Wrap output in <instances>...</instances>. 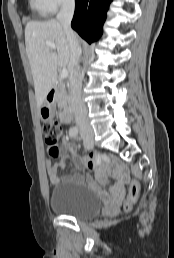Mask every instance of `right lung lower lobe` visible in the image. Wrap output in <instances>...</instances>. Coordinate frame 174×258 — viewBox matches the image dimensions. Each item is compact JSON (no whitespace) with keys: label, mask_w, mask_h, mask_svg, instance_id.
<instances>
[{"label":"right lung lower lobe","mask_w":174,"mask_h":258,"mask_svg":"<svg viewBox=\"0 0 174 258\" xmlns=\"http://www.w3.org/2000/svg\"><path fill=\"white\" fill-rule=\"evenodd\" d=\"M112 0H75L76 9L71 26L88 43L102 35L106 12Z\"/></svg>","instance_id":"1"}]
</instances>
